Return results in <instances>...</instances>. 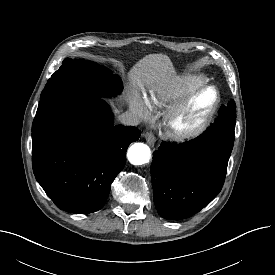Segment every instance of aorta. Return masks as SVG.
<instances>
[{
	"label": "aorta",
	"mask_w": 275,
	"mask_h": 275,
	"mask_svg": "<svg viewBox=\"0 0 275 275\" xmlns=\"http://www.w3.org/2000/svg\"><path fill=\"white\" fill-rule=\"evenodd\" d=\"M127 157L131 164L143 165L149 162L151 150L144 143H135L128 149Z\"/></svg>",
	"instance_id": "obj_1"
}]
</instances>
